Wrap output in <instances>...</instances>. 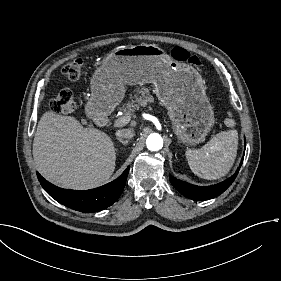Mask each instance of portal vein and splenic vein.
Listing matches in <instances>:
<instances>
[{
    "label": "portal vein and splenic vein",
    "instance_id": "1",
    "mask_svg": "<svg viewBox=\"0 0 281 281\" xmlns=\"http://www.w3.org/2000/svg\"><path fill=\"white\" fill-rule=\"evenodd\" d=\"M129 120H130L129 117L125 115L122 118L117 119L113 125L115 128L118 129V128L122 127L123 125L127 124L129 122Z\"/></svg>",
    "mask_w": 281,
    "mask_h": 281
}]
</instances>
